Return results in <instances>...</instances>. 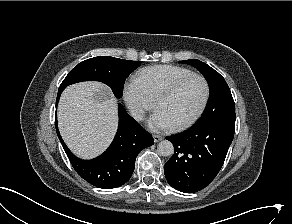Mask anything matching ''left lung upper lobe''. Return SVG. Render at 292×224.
Segmentation results:
<instances>
[{"mask_svg": "<svg viewBox=\"0 0 292 224\" xmlns=\"http://www.w3.org/2000/svg\"><path fill=\"white\" fill-rule=\"evenodd\" d=\"M181 62L194 66L203 74L209 84L210 97L208 104L201 118L194 126L223 115L235 113V104L230 89L225 79L217 71L199 60L190 59Z\"/></svg>", "mask_w": 292, "mask_h": 224, "instance_id": "1", "label": "left lung upper lobe"}]
</instances>
